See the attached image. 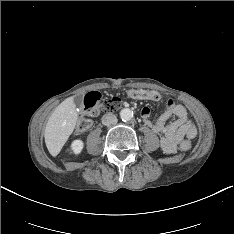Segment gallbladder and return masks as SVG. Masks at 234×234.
Returning a JSON list of instances; mask_svg holds the SVG:
<instances>
[{"label": "gallbladder", "mask_w": 234, "mask_h": 234, "mask_svg": "<svg viewBox=\"0 0 234 234\" xmlns=\"http://www.w3.org/2000/svg\"><path fill=\"white\" fill-rule=\"evenodd\" d=\"M83 102V96L82 95H77L74 97V103L78 108H81Z\"/></svg>", "instance_id": "1"}]
</instances>
